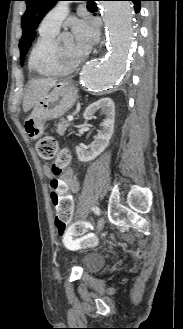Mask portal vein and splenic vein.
Listing matches in <instances>:
<instances>
[{
    "label": "portal vein and splenic vein",
    "instance_id": "1",
    "mask_svg": "<svg viewBox=\"0 0 183 329\" xmlns=\"http://www.w3.org/2000/svg\"><path fill=\"white\" fill-rule=\"evenodd\" d=\"M67 119H68L69 121H72V120H73V116H72V115H68V116H67Z\"/></svg>",
    "mask_w": 183,
    "mask_h": 329
}]
</instances>
